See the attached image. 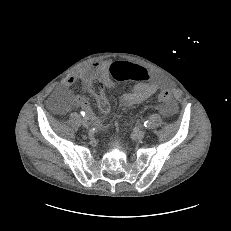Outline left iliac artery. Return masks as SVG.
<instances>
[{"instance_id":"obj_1","label":"left iliac artery","mask_w":231,"mask_h":231,"mask_svg":"<svg viewBox=\"0 0 231 231\" xmlns=\"http://www.w3.org/2000/svg\"><path fill=\"white\" fill-rule=\"evenodd\" d=\"M144 127L149 128L151 126V123L149 121L144 122Z\"/></svg>"}]
</instances>
